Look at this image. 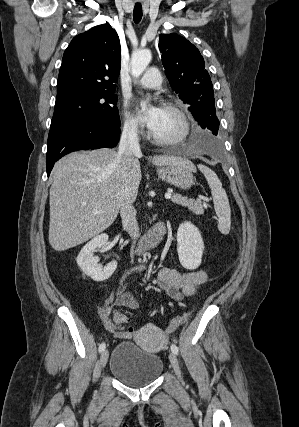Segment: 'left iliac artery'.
Segmentation results:
<instances>
[{
  "label": "left iliac artery",
  "instance_id": "44dca946",
  "mask_svg": "<svg viewBox=\"0 0 299 427\" xmlns=\"http://www.w3.org/2000/svg\"><path fill=\"white\" fill-rule=\"evenodd\" d=\"M171 351L175 354H178V347L174 344L171 345Z\"/></svg>",
  "mask_w": 299,
  "mask_h": 427
}]
</instances>
